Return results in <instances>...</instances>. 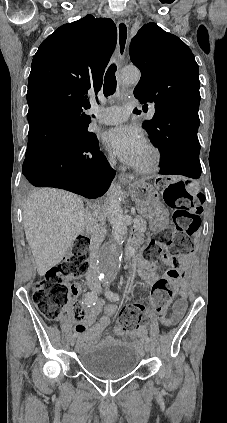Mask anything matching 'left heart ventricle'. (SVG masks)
<instances>
[{
    "label": "left heart ventricle",
    "instance_id": "b2bd125f",
    "mask_svg": "<svg viewBox=\"0 0 227 423\" xmlns=\"http://www.w3.org/2000/svg\"><path fill=\"white\" fill-rule=\"evenodd\" d=\"M150 159H151V152L148 148H146L138 165H144L148 163Z\"/></svg>",
    "mask_w": 227,
    "mask_h": 423
}]
</instances>
